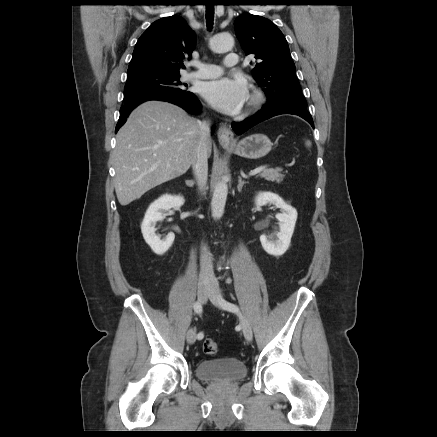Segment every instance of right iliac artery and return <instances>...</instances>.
Masks as SVG:
<instances>
[{
    "label": "right iliac artery",
    "mask_w": 437,
    "mask_h": 437,
    "mask_svg": "<svg viewBox=\"0 0 437 437\" xmlns=\"http://www.w3.org/2000/svg\"><path fill=\"white\" fill-rule=\"evenodd\" d=\"M194 311H195L197 314H201V313H202V305H201L200 302H196V303L194 304ZM203 337H204L203 332H199V333L197 334V339H198V340L203 339Z\"/></svg>",
    "instance_id": "1"
}]
</instances>
